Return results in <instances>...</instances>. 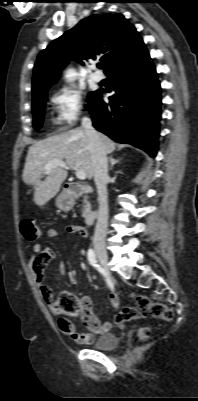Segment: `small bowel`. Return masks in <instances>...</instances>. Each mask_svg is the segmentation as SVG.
I'll list each match as a JSON object with an SVG mask.
<instances>
[{
  "mask_svg": "<svg viewBox=\"0 0 198 401\" xmlns=\"http://www.w3.org/2000/svg\"><path fill=\"white\" fill-rule=\"evenodd\" d=\"M67 232L73 236L86 238L87 230L81 226L69 225ZM50 238H56L60 235L57 228H50L47 231ZM55 259V251L51 248H44L40 243H36L33 247V252L29 259V270L32 278L40 290L42 298L50 301L52 298V290L45 285L46 269L48 265ZM57 273L59 276L65 274V265L59 262L57 265ZM109 300L114 309L119 307V296L115 291L109 292ZM81 305V318L87 328L90 330L88 333H79L75 330L74 325L65 319H60L58 322L59 328L64 335L71 336L78 343L88 345L92 342L95 335L103 334L110 327V323L101 322L93 312L92 301L88 296L80 298Z\"/></svg>",
  "mask_w": 198,
  "mask_h": 401,
  "instance_id": "1",
  "label": "small bowel"
}]
</instances>
